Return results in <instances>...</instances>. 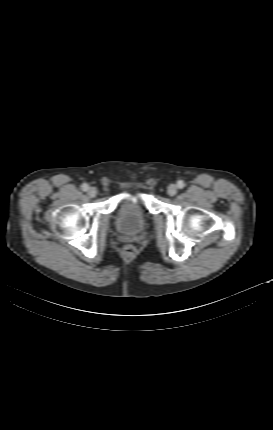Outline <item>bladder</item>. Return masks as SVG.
Wrapping results in <instances>:
<instances>
[{
	"label": "bladder",
	"instance_id": "bladder-1",
	"mask_svg": "<svg viewBox=\"0 0 273 430\" xmlns=\"http://www.w3.org/2000/svg\"><path fill=\"white\" fill-rule=\"evenodd\" d=\"M148 222L143 207L133 200L123 201L115 214V225L124 234H137L142 232Z\"/></svg>",
	"mask_w": 273,
	"mask_h": 430
}]
</instances>
